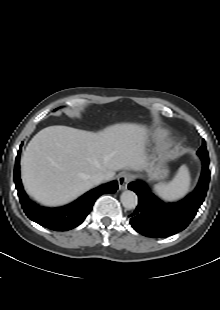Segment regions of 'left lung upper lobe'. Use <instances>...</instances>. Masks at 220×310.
Masks as SVG:
<instances>
[{"label":"left lung upper lobe","mask_w":220,"mask_h":310,"mask_svg":"<svg viewBox=\"0 0 220 310\" xmlns=\"http://www.w3.org/2000/svg\"><path fill=\"white\" fill-rule=\"evenodd\" d=\"M197 154L199 155V157L201 159H209L208 157V152L205 146V142L203 141L202 146L200 147V149L198 150Z\"/></svg>","instance_id":"obj_1"}]
</instances>
